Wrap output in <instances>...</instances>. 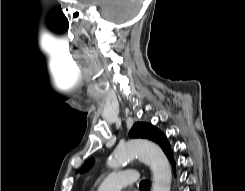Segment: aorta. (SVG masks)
Wrapping results in <instances>:
<instances>
[{"label":"aorta","instance_id":"762f6f07","mask_svg":"<svg viewBox=\"0 0 245 191\" xmlns=\"http://www.w3.org/2000/svg\"><path fill=\"white\" fill-rule=\"evenodd\" d=\"M134 158L150 166L153 173L152 191H170V164L161 148L150 141L131 140L118 146L109 157L107 165L110 168L120 167Z\"/></svg>","mask_w":245,"mask_h":191}]
</instances>
